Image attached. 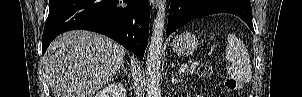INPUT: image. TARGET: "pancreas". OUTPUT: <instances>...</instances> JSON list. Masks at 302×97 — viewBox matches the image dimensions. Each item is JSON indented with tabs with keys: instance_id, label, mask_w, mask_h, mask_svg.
<instances>
[{
	"instance_id": "cf45deb5",
	"label": "pancreas",
	"mask_w": 302,
	"mask_h": 97,
	"mask_svg": "<svg viewBox=\"0 0 302 97\" xmlns=\"http://www.w3.org/2000/svg\"><path fill=\"white\" fill-rule=\"evenodd\" d=\"M199 69H200L199 63L198 62H193V63H191L190 67L187 68L186 73L192 74L195 71H198Z\"/></svg>"
}]
</instances>
